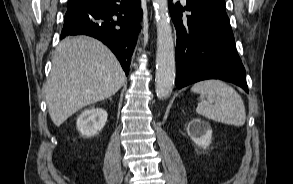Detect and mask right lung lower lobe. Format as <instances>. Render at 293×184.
Returning a JSON list of instances; mask_svg holds the SVG:
<instances>
[{"label":"right lung lower lobe","mask_w":293,"mask_h":184,"mask_svg":"<svg viewBox=\"0 0 293 184\" xmlns=\"http://www.w3.org/2000/svg\"><path fill=\"white\" fill-rule=\"evenodd\" d=\"M142 15L140 0H86L68 8L60 39L77 34L99 39L116 55L128 75Z\"/></svg>","instance_id":"1"}]
</instances>
